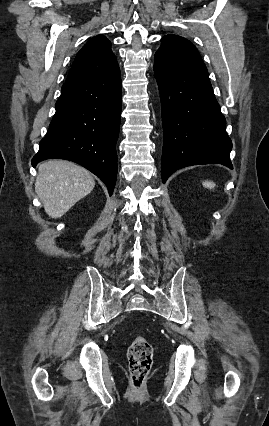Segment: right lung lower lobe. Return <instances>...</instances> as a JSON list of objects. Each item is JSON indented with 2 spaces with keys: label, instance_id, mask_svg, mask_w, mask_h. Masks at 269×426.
<instances>
[{
  "label": "right lung lower lobe",
  "instance_id": "98d812e1",
  "mask_svg": "<svg viewBox=\"0 0 269 426\" xmlns=\"http://www.w3.org/2000/svg\"><path fill=\"white\" fill-rule=\"evenodd\" d=\"M121 106L119 67L99 77L65 82L33 167L52 158L76 162L98 176L112 195Z\"/></svg>",
  "mask_w": 269,
  "mask_h": 426
}]
</instances>
